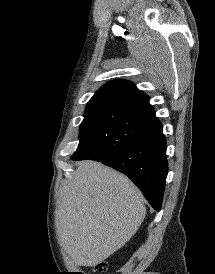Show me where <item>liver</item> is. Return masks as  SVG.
I'll use <instances>...</instances> for the list:
<instances>
[{"instance_id": "liver-1", "label": "liver", "mask_w": 215, "mask_h": 274, "mask_svg": "<svg viewBox=\"0 0 215 274\" xmlns=\"http://www.w3.org/2000/svg\"><path fill=\"white\" fill-rule=\"evenodd\" d=\"M146 215L140 190L123 174L100 162L79 163L59 195V240L79 266L100 264L125 245Z\"/></svg>"}]
</instances>
